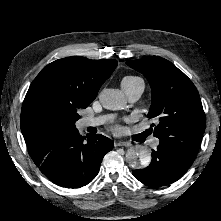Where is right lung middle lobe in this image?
I'll return each instance as SVG.
<instances>
[{
    "mask_svg": "<svg viewBox=\"0 0 221 221\" xmlns=\"http://www.w3.org/2000/svg\"><path fill=\"white\" fill-rule=\"evenodd\" d=\"M82 107L66 106L58 111L59 120L64 124L65 131L76 130L75 122L80 118L77 113Z\"/></svg>",
    "mask_w": 221,
    "mask_h": 221,
    "instance_id": "1",
    "label": "right lung middle lobe"
}]
</instances>
